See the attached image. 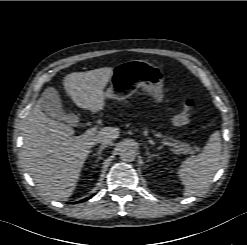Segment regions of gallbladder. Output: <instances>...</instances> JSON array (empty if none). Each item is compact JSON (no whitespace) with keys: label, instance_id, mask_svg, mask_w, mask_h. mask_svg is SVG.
I'll list each match as a JSON object with an SVG mask.
<instances>
[{"label":"gallbladder","instance_id":"1","mask_svg":"<svg viewBox=\"0 0 247 245\" xmlns=\"http://www.w3.org/2000/svg\"><path fill=\"white\" fill-rule=\"evenodd\" d=\"M39 105L40 109L53 119L66 121L67 117L71 116L64 111L58 91L53 87L45 89L39 99Z\"/></svg>","mask_w":247,"mask_h":245}]
</instances>
